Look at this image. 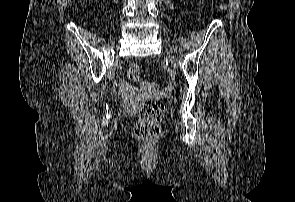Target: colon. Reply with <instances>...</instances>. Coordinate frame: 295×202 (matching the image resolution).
Returning a JSON list of instances; mask_svg holds the SVG:
<instances>
[{
  "mask_svg": "<svg viewBox=\"0 0 295 202\" xmlns=\"http://www.w3.org/2000/svg\"><path fill=\"white\" fill-rule=\"evenodd\" d=\"M127 76L132 81H137L140 76V67L133 63L127 68ZM141 89L145 92L156 93L160 91L157 84L152 82H144ZM164 104L159 99L147 100L143 103L139 111V119L134 127V135L145 142L155 140L160 134V121L164 115Z\"/></svg>",
  "mask_w": 295,
  "mask_h": 202,
  "instance_id": "1",
  "label": "colon"
}]
</instances>
